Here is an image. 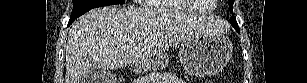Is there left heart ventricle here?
I'll return each instance as SVG.
<instances>
[{
    "label": "left heart ventricle",
    "mask_w": 307,
    "mask_h": 83,
    "mask_svg": "<svg viewBox=\"0 0 307 83\" xmlns=\"http://www.w3.org/2000/svg\"><path fill=\"white\" fill-rule=\"evenodd\" d=\"M196 3H205V2L202 0V2L201 1H196ZM199 7L202 10H208V9H210L211 6L207 5V4H203V5H199Z\"/></svg>",
    "instance_id": "1"
}]
</instances>
